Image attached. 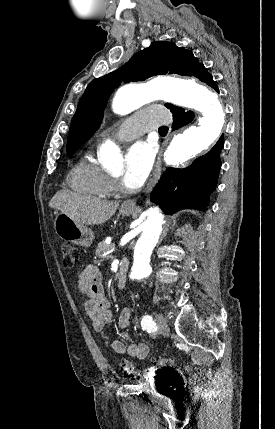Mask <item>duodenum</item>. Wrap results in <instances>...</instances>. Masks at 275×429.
I'll return each mask as SVG.
<instances>
[{"mask_svg":"<svg viewBox=\"0 0 275 429\" xmlns=\"http://www.w3.org/2000/svg\"><path fill=\"white\" fill-rule=\"evenodd\" d=\"M117 286L118 288L122 289L126 285V279H127V264L126 262H122L118 268L117 271Z\"/></svg>","mask_w":275,"mask_h":429,"instance_id":"duodenum-1","label":"duodenum"}]
</instances>
